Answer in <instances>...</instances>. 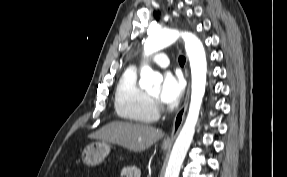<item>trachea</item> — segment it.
<instances>
[{"instance_id":"obj_1","label":"trachea","mask_w":287,"mask_h":177,"mask_svg":"<svg viewBox=\"0 0 287 177\" xmlns=\"http://www.w3.org/2000/svg\"><path fill=\"white\" fill-rule=\"evenodd\" d=\"M185 61H186V59H185L184 56H180V57H179V64H180V65H184V64H185Z\"/></svg>"}]
</instances>
